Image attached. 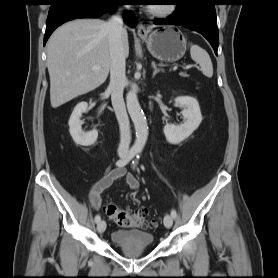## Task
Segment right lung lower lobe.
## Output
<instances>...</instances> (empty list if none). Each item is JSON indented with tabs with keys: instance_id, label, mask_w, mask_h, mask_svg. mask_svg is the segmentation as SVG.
Returning a JSON list of instances; mask_svg holds the SVG:
<instances>
[{
	"instance_id": "1",
	"label": "right lung lower lobe",
	"mask_w": 278,
	"mask_h": 278,
	"mask_svg": "<svg viewBox=\"0 0 278 278\" xmlns=\"http://www.w3.org/2000/svg\"><path fill=\"white\" fill-rule=\"evenodd\" d=\"M126 2V0H54L46 21L44 45L61 24L78 18H98L117 5L127 4ZM124 20L130 26L136 25V19L130 13H124Z\"/></svg>"
}]
</instances>
